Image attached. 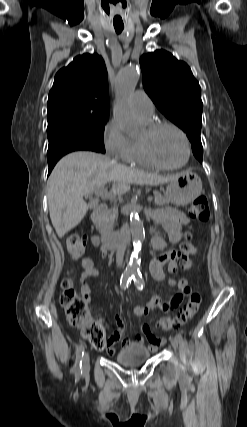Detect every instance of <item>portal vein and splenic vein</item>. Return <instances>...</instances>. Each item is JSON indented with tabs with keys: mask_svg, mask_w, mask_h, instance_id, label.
I'll use <instances>...</instances> for the list:
<instances>
[{
	"mask_svg": "<svg viewBox=\"0 0 247 427\" xmlns=\"http://www.w3.org/2000/svg\"><path fill=\"white\" fill-rule=\"evenodd\" d=\"M95 194L97 196L104 197V198H112V197H115L116 194H118V193H115V192L111 193V192H108V191L104 190L103 188H101V189L96 190ZM147 200L149 202H151L153 200V197L152 196H148Z\"/></svg>",
	"mask_w": 247,
	"mask_h": 427,
	"instance_id": "obj_1",
	"label": "portal vein and splenic vein"
}]
</instances>
